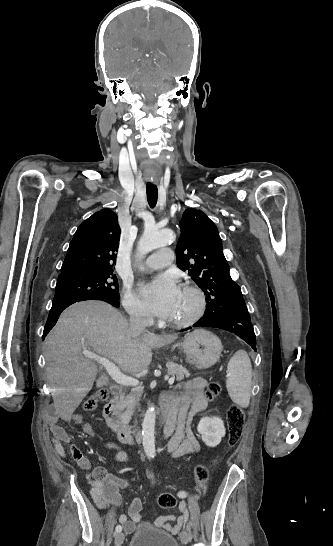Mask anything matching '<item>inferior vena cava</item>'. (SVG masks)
I'll return each instance as SVG.
<instances>
[{
	"mask_svg": "<svg viewBox=\"0 0 333 546\" xmlns=\"http://www.w3.org/2000/svg\"><path fill=\"white\" fill-rule=\"evenodd\" d=\"M130 314V331L132 333H141L147 327V319L139 311L131 309Z\"/></svg>",
	"mask_w": 333,
	"mask_h": 546,
	"instance_id": "1",
	"label": "inferior vena cava"
}]
</instances>
